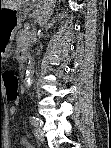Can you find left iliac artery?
Instances as JSON below:
<instances>
[{"label":"left iliac artery","mask_w":111,"mask_h":148,"mask_svg":"<svg viewBox=\"0 0 111 148\" xmlns=\"http://www.w3.org/2000/svg\"><path fill=\"white\" fill-rule=\"evenodd\" d=\"M30 122L34 126H39L41 124L40 120L34 116H30Z\"/></svg>","instance_id":"left-iliac-artery-1"}]
</instances>
